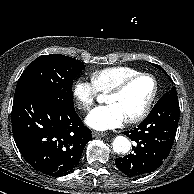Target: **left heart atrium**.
<instances>
[{
	"label": "left heart atrium",
	"mask_w": 194,
	"mask_h": 194,
	"mask_svg": "<svg viewBox=\"0 0 194 194\" xmlns=\"http://www.w3.org/2000/svg\"><path fill=\"white\" fill-rule=\"evenodd\" d=\"M125 117L112 104L93 109L86 117V124L95 130H107L120 127Z\"/></svg>",
	"instance_id": "obj_1"
}]
</instances>
